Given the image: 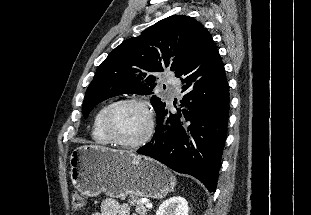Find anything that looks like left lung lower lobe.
<instances>
[{
    "instance_id": "obj_1",
    "label": "left lung lower lobe",
    "mask_w": 311,
    "mask_h": 215,
    "mask_svg": "<svg viewBox=\"0 0 311 215\" xmlns=\"http://www.w3.org/2000/svg\"><path fill=\"white\" fill-rule=\"evenodd\" d=\"M181 78V108L157 112L152 140L137 152L200 180L215 192L229 116V88L223 62L210 35L175 72Z\"/></svg>"
}]
</instances>
